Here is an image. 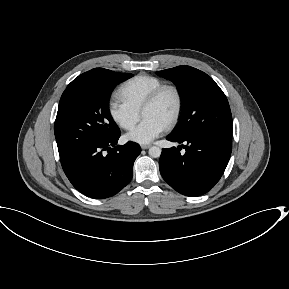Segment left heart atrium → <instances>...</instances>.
<instances>
[{"label": "left heart atrium", "mask_w": 289, "mask_h": 289, "mask_svg": "<svg viewBox=\"0 0 289 289\" xmlns=\"http://www.w3.org/2000/svg\"><path fill=\"white\" fill-rule=\"evenodd\" d=\"M165 128L166 125L159 120L147 117L126 135V139L139 144H147L156 139Z\"/></svg>", "instance_id": "obj_1"}]
</instances>
